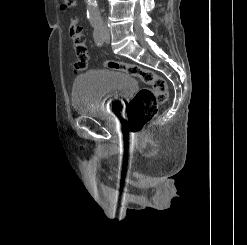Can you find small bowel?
Here are the masks:
<instances>
[{
    "mask_svg": "<svg viewBox=\"0 0 247 245\" xmlns=\"http://www.w3.org/2000/svg\"><path fill=\"white\" fill-rule=\"evenodd\" d=\"M72 29H73L74 31L78 32L81 36H83L82 30H81V28L76 24V21H75V20H72V21H71V24H70V26H69V31L72 30Z\"/></svg>",
    "mask_w": 247,
    "mask_h": 245,
    "instance_id": "1",
    "label": "small bowel"
}]
</instances>
